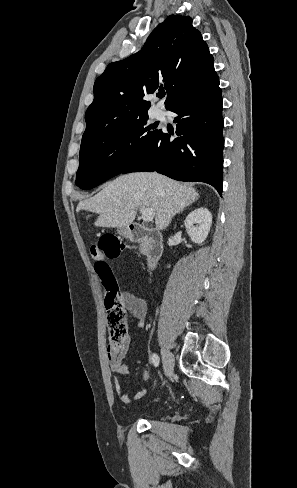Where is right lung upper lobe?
Instances as JSON below:
<instances>
[{"label":"right lung upper lobe","instance_id":"obj_1","mask_svg":"<svg viewBox=\"0 0 297 488\" xmlns=\"http://www.w3.org/2000/svg\"><path fill=\"white\" fill-rule=\"evenodd\" d=\"M214 59L188 16L171 15L150 34L143 48L110 63L94 84L83 138L104 135L148 116L143 99L165 88L169 110L185 95L216 77Z\"/></svg>","mask_w":297,"mask_h":488}]
</instances>
